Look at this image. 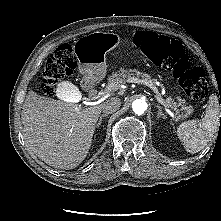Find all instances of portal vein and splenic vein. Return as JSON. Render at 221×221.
<instances>
[{
	"instance_id": "18ae733b",
	"label": "portal vein and splenic vein",
	"mask_w": 221,
	"mask_h": 221,
	"mask_svg": "<svg viewBox=\"0 0 221 221\" xmlns=\"http://www.w3.org/2000/svg\"><path fill=\"white\" fill-rule=\"evenodd\" d=\"M128 82L145 84V85H148L155 93L158 92L157 89H156V87H155L154 85L144 83V82H143L142 80H140V79L131 78ZM115 89H116V88H115L113 85L108 86L105 91H103V92H101V93L98 94V96H97L98 101L92 102V103H89V104H90V105L99 104L100 102H102V101L104 100V97H105L106 95H108L111 91H113V90H115ZM157 99H158L159 103H161V105L165 106L166 108L171 109V110H176L174 107L168 105L161 97H158ZM75 102H78V100L75 101Z\"/></svg>"
}]
</instances>
